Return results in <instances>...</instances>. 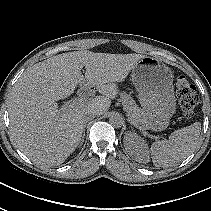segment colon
<instances>
[{
	"mask_svg": "<svg viewBox=\"0 0 211 211\" xmlns=\"http://www.w3.org/2000/svg\"><path fill=\"white\" fill-rule=\"evenodd\" d=\"M175 86L180 108L185 116L190 117L198 103L196 89L185 76H179Z\"/></svg>",
	"mask_w": 211,
	"mask_h": 211,
	"instance_id": "1",
	"label": "colon"
}]
</instances>
